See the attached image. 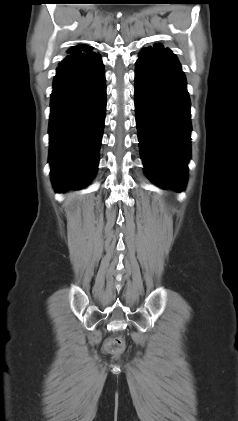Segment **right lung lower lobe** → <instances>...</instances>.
Segmentation results:
<instances>
[{"instance_id":"1","label":"right lung lower lobe","mask_w":238,"mask_h":421,"mask_svg":"<svg viewBox=\"0 0 238 421\" xmlns=\"http://www.w3.org/2000/svg\"><path fill=\"white\" fill-rule=\"evenodd\" d=\"M106 110L102 61L93 52L70 54L57 68L49 123L51 178L57 192L94 178Z\"/></svg>"}]
</instances>
